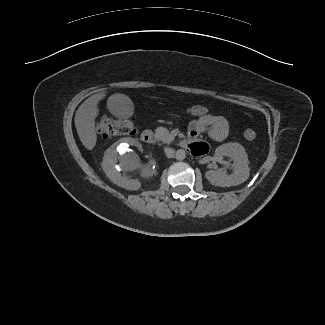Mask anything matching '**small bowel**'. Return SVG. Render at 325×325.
<instances>
[{"label":"small bowel","mask_w":325,"mask_h":325,"mask_svg":"<svg viewBox=\"0 0 325 325\" xmlns=\"http://www.w3.org/2000/svg\"><path fill=\"white\" fill-rule=\"evenodd\" d=\"M203 132H206L213 140L221 141L228 136L229 126L226 119L222 116L211 114L208 118L195 117L189 125V136L192 139H196ZM188 148L193 156H201L208 152L209 145L207 142L194 140Z\"/></svg>","instance_id":"1"}]
</instances>
